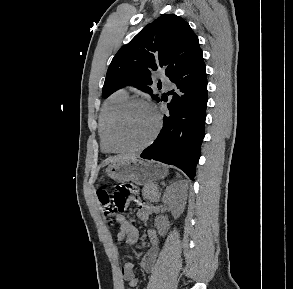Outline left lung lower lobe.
<instances>
[{
    "instance_id": "obj_1",
    "label": "left lung lower lobe",
    "mask_w": 293,
    "mask_h": 289,
    "mask_svg": "<svg viewBox=\"0 0 293 289\" xmlns=\"http://www.w3.org/2000/svg\"><path fill=\"white\" fill-rule=\"evenodd\" d=\"M170 81L175 86L169 92L173 95L167 105L169 113L164 115L160 134L140 157L175 165L194 180L200 147L205 136L208 100L202 52L186 67L171 76Z\"/></svg>"
}]
</instances>
